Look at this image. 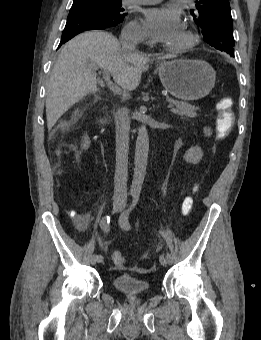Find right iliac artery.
<instances>
[{"instance_id":"obj_1","label":"right iliac artery","mask_w":261,"mask_h":340,"mask_svg":"<svg viewBox=\"0 0 261 340\" xmlns=\"http://www.w3.org/2000/svg\"><path fill=\"white\" fill-rule=\"evenodd\" d=\"M100 227L106 233H108L110 231V216L106 215L101 219ZM96 260H97L98 263L104 262V258L100 254L96 255Z\"/></svg>"}]
</instances>
